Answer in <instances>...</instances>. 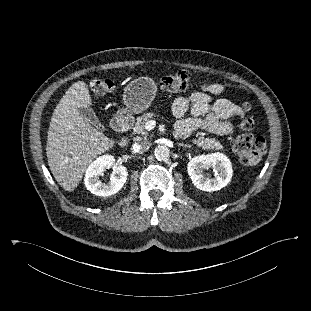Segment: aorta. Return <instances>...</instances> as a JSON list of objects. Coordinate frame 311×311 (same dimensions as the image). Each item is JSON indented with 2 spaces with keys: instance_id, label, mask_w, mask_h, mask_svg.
Segmentation results:
<instances>
[{
  "instance_id": "obj_1",
  "label": "aorta",
  "mask_w": 311,
  "mask_h": 311,
  "mask_svg": "<svg viewBox=\"0 0 311 311\" xmlns=\"http://www.w3.org/2000/svg\"><path fill=\"white\" fill-rule=\"evenodd\" d=\"M170 155V150L166 146H158L155 149V157L158 161L168 160Z\"/></svg>"
}]
</instances>
